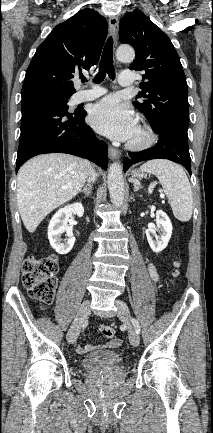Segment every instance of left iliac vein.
Here are the masks:
<instances>
[{"mask_svg":"<svg viewBox=\"0 0 213 433\" xmlns=\"http://www.w3.org/2000/svg\"><path fill=\"white\" fill-rule=\"evenodd\" d=\"M117 316L118 318L128 325L129 341L133 346H138L140 342L139 334L130 324V310L127 304L121 300H116Z\"/></svg>","mask_w":213,"mask_h":433,"instance_id":"obj_1","label":"left iliac vein"}]
</instances>
